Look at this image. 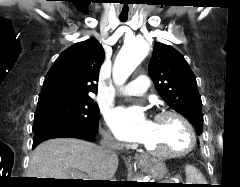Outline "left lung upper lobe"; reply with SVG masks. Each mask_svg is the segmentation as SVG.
Masks as SVG:
<instances>
[{
    "instance_id": "1",
    "label": "left lung upper lobe",
    "mask_w": 240,
    "mask_h": 187,
    "mask_svg": "<svg viewBox=\"0 0 240 187\" xmlns=\"http://www.w3.org/2000/svg\"><path fill=\"white\" fill-rule=\"evenodd\" d=\"M148 72L159 95L168 105L183 114L201 134L202 101L195 75L184 57L173 47L156 43Z\"/></svg>"
}]
</instances>
